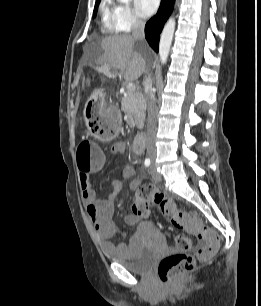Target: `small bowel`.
Returning <instances> with one entry per match:
<instances>
[{
	"instance_id": "1",
	"label": "small bowel",
	"mask_w": 261,
	"mask_h": 306,
	"mask_svg": "<svg viewBox=\"0 0 261 306\" xmlns=\"http://www.w3.org/2000/svg\"><path fill=\"white\" fill-rule=\"evenodd\" d=\"M126 151V145L124 142H116L111 148L113 155H121ZM106 165V161L99 163L92 167L90 170L81 171L79 174V185L81 190L82 199L85 206L87 217L92 224L97 240L105 253L108 254H121L128 253L130 247L125 243L114 244L112 239L121 233L118 225L112 220L114 215L113 201L116 194L121 189V182L116 180L112 182V192L107 198L101 199L97 196L96 191L90 181L92 173L101 171ZM133 174L131 167H126L124 175L130 177ZM140 181L135 179L130 183V189L136 194L139 190ZM124 221L127 225H135L139 221V217L135 214H129L124 217ZM136 239L133 240V243Z\"/></svg>"
}]
</instances>
